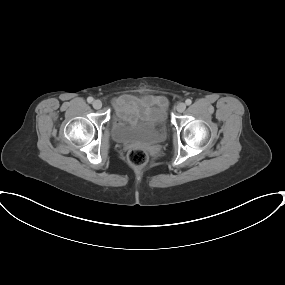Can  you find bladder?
<instances>
[{"mask_svg": "<svg viewBox=\"0 0 285 285\" xmlns=\"http://www.w3.org/2000/svg\"><path fill=\"white\" fill-rule=\"evenodd\" d=\"M151 121L130 123L123 110L118 109L112 127V135L115 141L129 143L142 141L147 143H159L166 138V109L158 107L154 110Z\"/></svg>", "mask_w": 285, "mask_h": 285, "instance_id": "1", "label": "bladder"}]
</instances>
